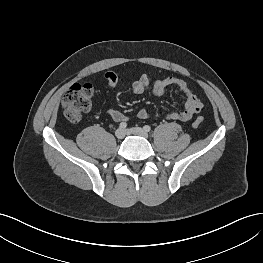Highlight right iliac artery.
Returning <instances> with one entry per match:
<instances>
[{"mask_svg": "<svg viewBox=\"0 0 263 263\" xmlns=\"http://www.w3.org/2000/svg\"><path fill=\"white\" fill-rule=\"evenodd\" d=\"M119 128L123 129V130L126 129L127 128V123H125V122L120 123Z\"/></svg>", "mask_w": 263, "mask_h": 263, "instance_id": "1", "label": "right iliac artery"}]
</instances>
